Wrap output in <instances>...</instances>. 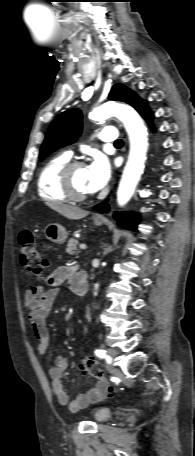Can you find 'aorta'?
Returning a JSON list of instances; mask_svg holds the SVG:
<instances>
[{
    "mask_svg": "<svg viewBox=\"0 0 195 456\" xmlns=\"http://www.w3.org/2000/svg\"><path fill=\"white\" fill-rule=\"evenodd\" d=\"M89 116L96 121L115 116L123 122L126 128L130 151L117 191L118 204L125 205L132 197L144 169L148 149L146 127L132 107L121 103H104L95 108Z\"/></svg>",
    "mask_w": 195,
    "mask_h": 456,
    "instance_id": "aorta-1",
    "label": "aorta"
}]
</instances>
